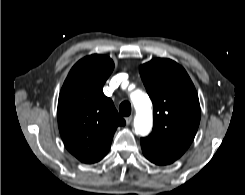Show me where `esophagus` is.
Instances as JSON below:
<instances>
[{
    "label": "esophagus",
    "mask_w": 245,
    "mask_h": 195,
    "mask_svg": "<svg viewBox=\"0 0 245 195\" xmlns=\"http://www.w3.org/2000/svg\"><path fill=\"white\" fill-rule=\"evenodd\" d=\"M125 120L127 125L131 124L133 120V116H128Z\"/></svg>",
    "instance_id": "1"
}]
</instances>
